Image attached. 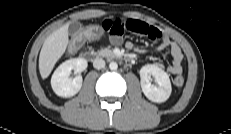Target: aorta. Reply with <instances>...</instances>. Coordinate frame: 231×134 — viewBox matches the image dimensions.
Instances as JSON below:
<instances>
[{
	"mask_svg": "<svg viewBox=\"0 0 231 134\" xmlns=\"http://www.w3.org/2000/svg\"><path fill=\"white\" fill-rule=\"evenodd\" d=\"M109 68H110L111 70H117L118 64H117L116 62L112 61V62H110V64H109Z\"/></svg>",
	"mask_w": 231,
	"mask_h": 134,
	"instance_id": "aorta-1",
	"label": "aorta"
}]
</instances>
